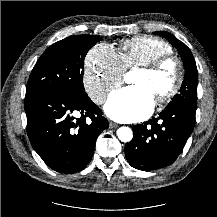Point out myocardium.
<instances>
[{
	"instance_id": "obj_1",
	"label": "myocardium",
	"mask_w": 217,
	"mask_h": 217,
	"mask_svg": "<svg viewBox=\"0 0 217 217\" xmlns=\"http://www.w3.org/2000/svg\"><path fill=\"white\" fill-rule=\"evenodd\" d=\"M171 67L173 71V83L164 93L158 95L155 100L159 104L170 102L180 91L184 81V69L180 60L173 54L161 56L149 64L140 66V71L150 75H158L165 67Z\"/></svg>"
}]
</instances>
